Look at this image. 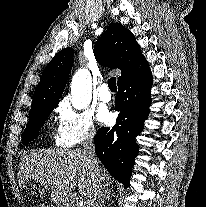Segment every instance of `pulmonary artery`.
Listing matches in <instances>:
<instances>
[{
	"label": "pulmonary artery",
	"mask_w": 206,
	"mask_h": 207,
	"mask_svg": "<svg viewBox=\"0 0 206 207\" xmlns=\"http://www.w3.org/2000/svg\"><path fill=\"white\" fill-rule=\"evenodd\" d=\"M98 97L103 102H110L111 101L112 94L109 91L108 85L106 83L101 85L99 92H98Z\"/></svg>",
	"instance_id": "obj_1"
}]
</instances>
